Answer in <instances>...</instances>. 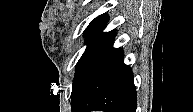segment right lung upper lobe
Returning a JSON list of instances; mask_svg holds the SVG:
<instances>
[{"instance_id":"1","label":"right lung upper lobe","mask_w":193,"mask_h":112,"mask_svg":"<svg viewBox=\"0 0 193 112\" xmlns=\"http://www.w3.org/2000/svg\"><path fill=\"white\" fill-rule=\"evenodd\" d=\"M108 22V15L107 14H102L95 18L87 27V29H94V30H102L105 28L106 24ZM86 29V30H87ZM115 32V30L111 31Z\"/></svg>"}]
</instances>
